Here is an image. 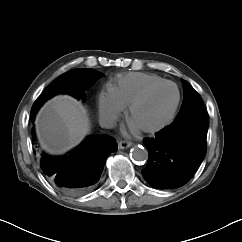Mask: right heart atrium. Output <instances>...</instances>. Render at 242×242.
Wrapping results in <instances>:
<instances>
[{"label": "right heart atrium", "instance_id": "obj_1", "mask_svg": "<svg viewBox=\"0 0 242 242\" xmlns=\"http://www.w3.org/2000/svg\"><path fill=\"white\" fill-rule=\"evenodd\" d=\"M98 109L101 122L112 126L124 111V106L116 99L111 90L98 95Z\"/></svg>", "mask_w": 242, "mask_h": 242}]
</instances>
